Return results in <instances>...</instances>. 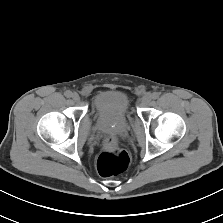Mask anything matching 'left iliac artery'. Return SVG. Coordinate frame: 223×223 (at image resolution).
<instances>
[{"label": "left iliac artery", "mask_w": 223, "mask_h": 223, "mask_svg": "<svg viewBox=\"0 0 223 223\" xmlns=\"http://www.w3.org/2000/svg\"><path fill=\"white\" fill-rule=\"evenodd\" d=\"M159 93L158 92H154L152 93V99H157L159 97Z\"/></svg>", "instance_id": "obj_1"}]
</instances>
